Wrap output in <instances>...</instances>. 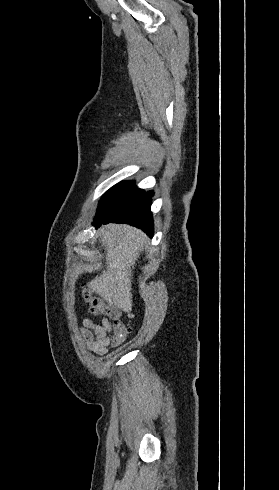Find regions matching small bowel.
<instances>
[{"label":"small bowel","instance_id":"obj_1","mask_svg":"<svg viewBox=\"0 0 279 490\" xmlns=\"http://www.w3.org/2000/svg\"><path fill=\"white\" fill-rule=\"evenodd\" d=\"M80 334L85 346L92 352L104 355L112 342L113 326L111 322L103 318L99 323L85 317L82 321Z\"/></svg>","mask_w":279,"mask_h":490}]
</instances>
